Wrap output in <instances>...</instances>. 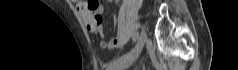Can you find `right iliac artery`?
Wrapping results in <instances>:
<instances>
[{
  "mask_svg": "<svg viewBox=\"0 0 238 70\" xmlns=\"http://www.w3.org/2000/svg\"><path fill=\"white\" fill-rule=\"evenodd\" d=\"M137 39H138V35H136V36L134 37V43H136ZM132 51H133V50H131L130 52L126 53L125 55H122L121 57H118V58H116L115 60H113V61L108 65V69L110 70V69H112L113 67H115L120 61H122V60H124L126 57H128V56L131 54Z\"/></svg>",
  "mask_w": 238,
  "mask_h": 70,
  "instance_id": "obj_1",
  "label": "right iliac artery"
}]
</instances>
